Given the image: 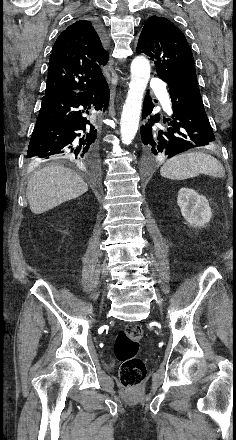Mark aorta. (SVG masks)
I'll return each mask as SVG.
<instances>
[{
  "label": "aorta",
  "mask_w": 236,
  "mask_h": 440,
  "mask_svg": "<svg viewBox=\"0 0 236 440\" xmlns=\"http://www.w3.org/2000/svg\"><path fill=\"white\" fill-rule=\"evenodd\" d=\"M150 71V63L144 56H137L133 59L131 63V81L120 121L123 144L129 145L137 133L143 95L150 78Z\"/></svg>",
  "instance_id": "obj_1"
}]
</instances>
